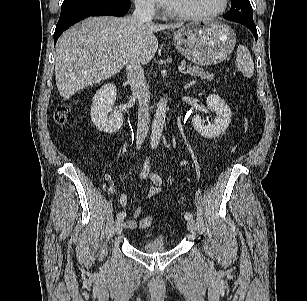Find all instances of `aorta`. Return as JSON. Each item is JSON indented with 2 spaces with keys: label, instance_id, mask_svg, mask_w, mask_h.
<instances>
[{
  "label": "aorta",
  "instance_id": "obj_1",
  "mask_svg": "<svg viewBox=\"0 0 307 301\" xmlns=\"http://www.w3.org/2000/svg\"><path fill=\"white\" fill-rule=\"evenodd\" d=\"M166 111L167 99L165 97H162L157 105V110L154 115V120L152 124L150 144L153 148H156L160 143V138L162 136L163 127L166 119Z\"/></svg>",
  "mask_w": 307,
  "mask_h": 301
}]
</instances>
